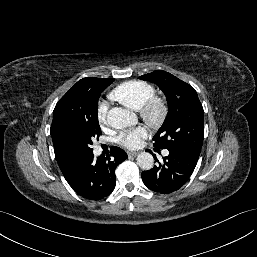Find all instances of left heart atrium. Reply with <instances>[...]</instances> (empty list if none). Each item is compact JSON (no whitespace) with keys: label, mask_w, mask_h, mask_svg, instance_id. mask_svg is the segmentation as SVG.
<instances>
[{"label":"left heart atrium","mask_w":257,"mask_h":257,"mask_svg":"<svg viewBox=\"0 0 257 257\" xmlns=\"http://www.w3.org/2000/svg\"><path fill=\"white\" fill-rule=\"evenodd\" d=\"M147 137V130L143 126L123 131L117 137V142L130 149L137 148L144 138Z\"/></svg>","instance_id":"1"}]
</instances>
